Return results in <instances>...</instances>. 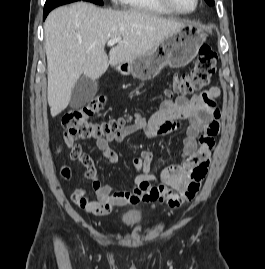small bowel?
<instances>
[{"label":"small bowel","instance_id":"1","mask_svg":"<svg viewBox=\"0 0 265 269\" xmlns=\"http://www.w3.org/2000/svg\"><path fill=\"white\" fill-rule=\"evenodd\" d=\"M219 95V88L213 86L191 98L180 96L166 99L162 102L160 109L148 120L137 119L116 135L97 138L96 147L106 160L115 163L119 160V155L112 148V142H121L136 132H142L151 138L167 135L176 131L181 121H187L188 126L182 139L181 155L184 162L181 165L166 168L161 175L163 185L160 186L165 191L167 188L176 190L180 197L179 203L173 201H168V203L171 206L180 205L190 200L188 198L190 187L194 186L198 190L207 175L214 147V135L209 134L208 131L213 123L219 127L220 112L215 105V98ZM68 148L71 159L84 167V178L90 181L95 194V199H89L84 189L74 190L71 199L79 208L102 216L107 215L116 207L135 206L142 202L153 201L147 192L152 187L151 184L157 181L150 172L153 161V154L150 151L141 150L138 157L134 159L137 176L131 190L115 191L111 186L102 184L93 158L83 151L79 143L72 141Z\"/></svg>","mask_w":265,"mask_h":269}]
</instances>
